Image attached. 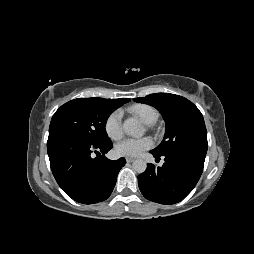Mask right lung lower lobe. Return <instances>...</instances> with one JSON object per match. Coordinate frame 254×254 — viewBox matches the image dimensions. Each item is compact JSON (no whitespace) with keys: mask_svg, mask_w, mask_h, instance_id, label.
<instances>
[{"mask_svg":"<svg viewBox=\"0 0 254 254\" xmlns=\"http://www.w3.org/2000/svg\"><path fill=\"white\" fill-rule=\"evenodd\" d=\"M112 147V142L93 144L62 131L49 132L48 156L52 173L61 189L83 204L106 200L126 163L123 157L112 161L104 156Z\"/></svg>","mask_w":254,"mask_h":254,"instance_id":"98d812e1","label":"right lung lower lobe"}]
</instances>
